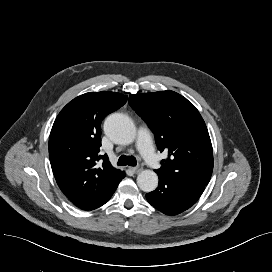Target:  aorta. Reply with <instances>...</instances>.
Masks as SVG:
<instances>
[{
	"instance_id": "obj_1",
	"label": "aorta",
	"mask_w": 272,
	"mask_h": 272,
	"mask_svg": "<svg viewBox=\"0 0 272 272\" xmlns=\"http://www.w3.org/2000/svg\"><path fill=\"white\" fill-rule=\"evenodd\" d=\"M105 134L118 144H130L136 137V128L132 120L122 114H110L104 122ZM137 185L144 192H152L158 186V176L152 170H143L137 177Z\"/></svg>"
}]
</instances>
